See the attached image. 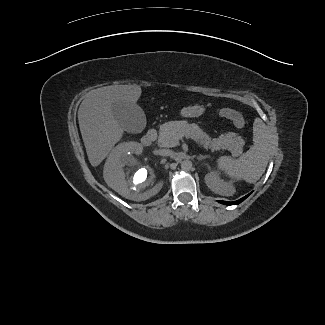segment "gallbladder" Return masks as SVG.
<instances>
[{"instance_id":"1","label":"gallbladder","mask_w":325,"mask_h":325,"mask_svg":"<svg viewBox=\"0 0 325 325\" xmlns=\"http://www.w3.org/2000/svg\"><path fill=\"white\" fill-rule=\"evenodd\" d=\"M112 112L120 126L129 133H139L146 126L144 111L137 104L116 102L112 106Z\"/></svg>"}]
</instances>
